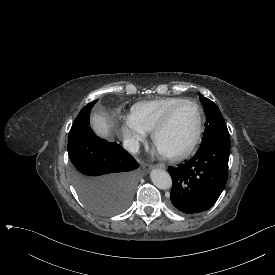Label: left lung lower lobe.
I'll use <instances>...</instances> for the list:
<instances>
[{
	"instance_id": "obj_1",
	"label": "left lung lower lobe",
	"mask_w": 275,
	"mask_h": 275,
	"mask_svg": "<svg viewBox=\"0 0 275 275\" xmlns=\"http://www.w3.org/2000/svg\"><path fill=\"white\" fill-rule=\"evenodd\" d=\"M229 154L230 137L219 138L201 144L184 164L168 168L175 210L195 214L215 204L227 182Z\"/></svg>"
}]
</instances>
